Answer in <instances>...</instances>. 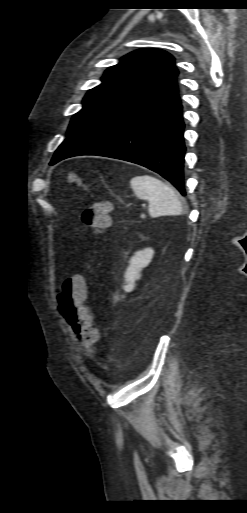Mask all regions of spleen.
<instances>
[{
	"label": "spleen",
	"instance_id": "spleen-1",
	"mask_svg": "<svg viewBox=\"0 0 247 513\" xmlns=\"http://www.w3.org/2000/svg\"><path fill=\"white\" fill-rule=\"evenodd\" d=\"M130 188L139 199L148 201V212L152 218L183 212V205L175 191L154 176H134L130 180Z\"/></svg>",
	"mask_w": 247,
	"mask_h": 513
}]
</instances>
